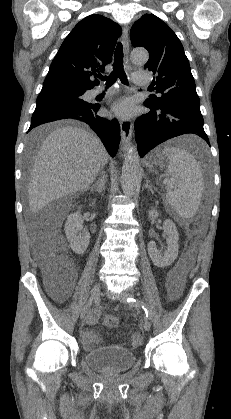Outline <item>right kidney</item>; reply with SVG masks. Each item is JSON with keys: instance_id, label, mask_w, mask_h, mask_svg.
I'll list each match as a JSON object with an SVG mask.
<instances>
[{"instance_id": "ca27d5eb", "label": "right kidney", "mask_w": 231, "mask_h": 419, "mask_svg": "<svg viewBox=\"0 0 231 419\" xmlns=\"http://www.w3.org/2000/svg\"><path fill=\"white\" fill-rule=\"evenodd\" d=\"M94 204L95 201L92 202V205ZM65 234L71 249L76 254L80 255L86 251L89 245L90 234L88 230L83 227V219L80 210L68 216L65 223Z\"/></svg>"}]
</instances>
